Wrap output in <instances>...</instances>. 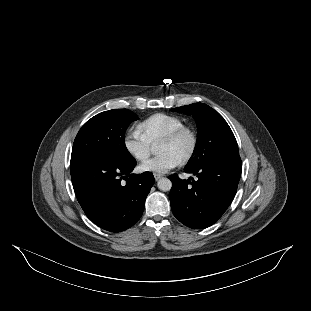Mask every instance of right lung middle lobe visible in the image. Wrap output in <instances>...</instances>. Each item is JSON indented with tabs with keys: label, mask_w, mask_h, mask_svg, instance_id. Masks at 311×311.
<instances>
[{
	"label": "right lung middle lobe",
	"mask_w": 311,
	"mask_h": 311,
	"mask_svg": "<svg viewBox=\"0 0 311 311\" xmlns=\"http://www.w3.org/2000/svg\"><path fill=\"white\" fill-rule=\"evenodd\" d=\"M138 117L128 109L99 113L79 130L73 144L71 162L86 156H102L121 162H132L124 135L127 127Z\"/></svg>",
	"instance_id": "dd1d6c3e"
}]
</instances>
